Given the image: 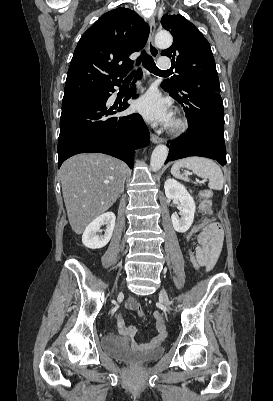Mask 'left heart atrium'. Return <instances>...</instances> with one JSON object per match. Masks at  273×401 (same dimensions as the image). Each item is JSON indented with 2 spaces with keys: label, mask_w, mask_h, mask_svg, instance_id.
I'll use <instances>...</instances> for the list:
<instances>
[{
  "label": "left heart atrium",
  "mask_w": 273,
  "mask_h": 401,
  "mask_svg": "<svg viewBox=\"0 0 273 401\" xmlns=\"http://www.w3.org/2000/svg\"><path fill=\"white\" fill-rule=\"evenodd\" d=\"M137 110L152 124L168 126L173 120L169 103L160 99L156 93L142 96L137 102Z\"/></svg>",
  "instance_id": "left-heart-atrium-1"
}]
</instances>
